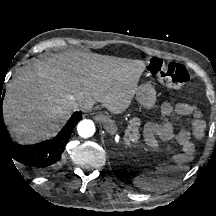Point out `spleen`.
Segmentation results:
<instances>
[{
    "label": "spleen",
    "instance_id": "3e777b00",
    "mask_svg": "<svg viewBox=\"0 0 216 216\" xmlns=\"http://www.w3.org/2000/svg\"><path fill=\"white\" fill-rule=\"evenodd\" d=\"M133 184L138 185V186H142L144 188H149V184H150V180L143 178L139 175H136L133 177L132 179Z\"/></svg>",
    "mask_w": 216,
    "mask_h": 216
}]
</instances>
